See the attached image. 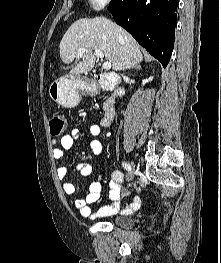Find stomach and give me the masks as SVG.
<instances>
[{
	"label": "stomach",
	"mask_w": 221,
	"mask_h": 263,
	"mask_svg": "<svg viewBox=\"0 0 221 263\" xmlns=\"http://www.w3.org/2000/svg\"><path fill=\"white\" fill-rule=\"evenodd\" d=\"M88 91L90 86L87 80L75 74L53 81L48 90L50 98L65 108L75 107L80 101V94Z\"/></svg>",
	"instance_id": "0dacf381"
}]
</instances>
